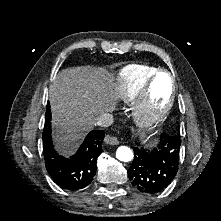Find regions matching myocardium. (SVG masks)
<instances>
[{"label":"myocardium","instance_id":"f54148a6","mask_svg":"<svg viewBox=\"0 0 221 221\" xmlns=\"http://www.w3.org/2000/svg\"><path fill=\"white\" fill-rule=\"evenodd\" d=\"M161 74H166L169 77L171 89L166 104L163 107L154 110L151 107V91L156 78ZM174 100L175 81L173 75L165 69H160L156 71L149 82L146 84V86L143 88L137 101L134 111V120L136 124L142 128H151L156 126L168 115L173 106Z\"/></svg>","mask_w":221,"mask_h":221}]
</instances>
